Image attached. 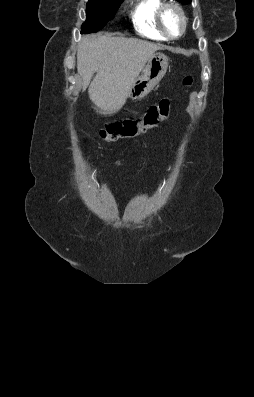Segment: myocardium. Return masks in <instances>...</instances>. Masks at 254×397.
Listing matches in <instances>:
<instances>
[{
  "mask_svg": "<svg viewBox=\"0 0 254 397\" xmlns=\"http://www.w3.org/2000/svg\"><path fill=\"white\" fill-rule=\"evenodd\" d=\"M168 9L175 10L181 19L182 27L178 35H171L164 25V14ZM156 20L161 32L171 40L180 38L185 33L187 28V17L183 8L178 3L173 1L164 2L160 5L157 11Z\"/></svg>",
  "mask_w": 254,
  "mask_h": 397,
  "instance_id": "myocardium-1",
  "label": "myocardium"
}]
</instances>
